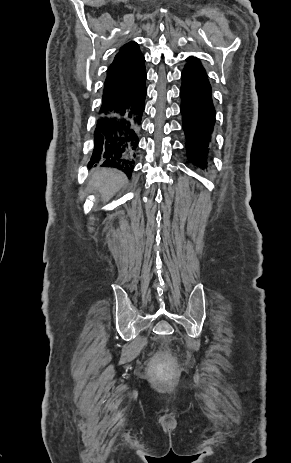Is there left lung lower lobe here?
I'll list each match as a JSON object with an SVG mask.
<instances>
[{"mask_svg": "<svg viewBox=\"0 0 291 463\" xmlns=\"http://www.w3.org/2000/svg\"><path fill=\"white\" fill-rule=\"evenodd\" d=\"M180 89L182 128L189 162L205 169L210 159L215 126L212 90L204 71L185 67Z\"/></svg>", "mask_w": 291, "mask_h": 463, "instance_id": "obj_1", "label": "left lung lower lobe"}]
</instances>
